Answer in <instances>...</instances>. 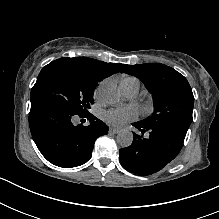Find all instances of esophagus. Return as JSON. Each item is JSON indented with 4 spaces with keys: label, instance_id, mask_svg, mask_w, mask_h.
Listing matches in <instances>:
<instances>
[{
    "label": "esophagus",
    "instance_id": "34e87169",
    "mask_svg": "<svg viewBox=\"0 0 219 219\" xmlns=\"http://www.w3.org/2000/svg\"><path fill=\"white\" fill-rule=\"evenodd\" d=\"M109 132H110L111 134H118V133L120 132V130H119L118 128L111 127V128L109 129Z\"/></svg>",
    "mask_w": 219,
    "mask_h": 219
}]
</instances>
